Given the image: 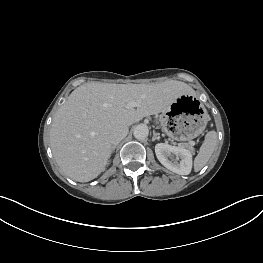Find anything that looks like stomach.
<instances>
[{
    "instance_id": "stomach-1",
    "label": "stomach",
    "mask_w": 263,
    "mask_h": 263,
    "mask_svg": "<svg viewBox=\"0 0 263 263\" xmlns=\"http://www.w3.org/2000/svg\"><path fill=\"white\" fill-rule=\"evenodd\" d=\"M162 130L179 140L197 137L206 127L209 115L192 95L178 97L159 117Z\"/></svg>"
}]
</instances>
